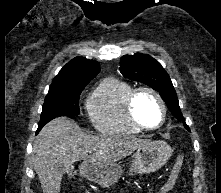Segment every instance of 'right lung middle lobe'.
<instances>
[{
    "label": "right lung middle lobe",
    "mask_w": 221,
    "mask_h": 193,
    "mask_svg": "<svg viewBox=\"0 0 221 193\" xmlns=\"http://www.w3.org/2000/svg\"><path fill=\"white\" fill-rule=\"evenodd\" d=\"M85 86L49 90L43 104L38 127L42 128L46 123L56 117H73L79 115V96Z\"/></svg>",
    "instance_id": "1"
}]
</instances>
